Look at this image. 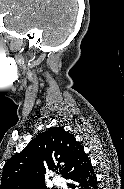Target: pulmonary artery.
<instances>
[{
  "mask_svg": "<svg viewBox=\"0 0 124 189\" xmlns=\"http://www.w3.org/2000/svg\"><path fill=\"white\" fill-rule=\"evenodd\" d=\"M53 183L55 184V185H57V186H60L62 183H61V181H60V179H58V178H55L54 180H53Z\"/></svg>",
  "mask_w": 124,
  "mask_h": 189,
  "instance_id": "1",
  "label": "pulmonary artery"
}]
</instances>
